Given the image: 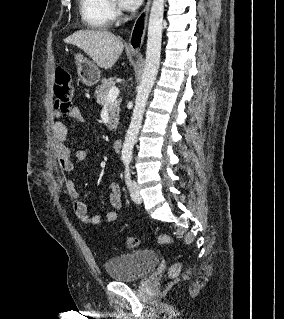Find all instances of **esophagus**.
<instances>
[{
	"instance_id": "esophagus-1",
	"label": "esophagus",
	"mask_w": 284,
	"mask_h": 319,
	"mask_svg": "<svg viewBox=\"0 0 284 319\" xmlns=\"http://www.w3.org/2000/svg\"><path fill=\"white\" fill-rule=\"evenodd\" d=\"M151 5V0H147L144 9L140 12L138 17L136 18L130 38L127 46V50L131 52H139L146 33L147 28V20L149 14V8Z\"/></svg>"
}]
</instances>
